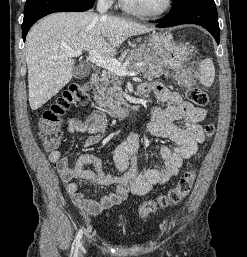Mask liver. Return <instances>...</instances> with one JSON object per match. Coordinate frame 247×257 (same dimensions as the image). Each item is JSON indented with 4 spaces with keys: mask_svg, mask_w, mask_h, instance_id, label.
Segmentation results:
<instances>
[{
    "mask_svg": "<svg viewBox=\"0 0 247 257\" xmlns=\"http://www.w3.org/2000/svg\"><path fill=\"white\" fill-rule=\"evenodd\" d=\"M151 30L133 21L91 11L54 13L43 18L26 39L31 109L40 108L72 79L75 60L66 49L94 50L110 58L128 37Z\"/></svg>",
    "mask_w": 247,
    "mask_h": 257,
    "instance_id": "6515ba94",
    "label": "liver"
}]
</instances>
